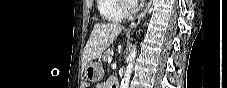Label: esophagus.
Returning <instances> with one entry per match:
<instances>
[{"instance_id": "obj_1", "label": "esophagus", "mask_w": 227, "mask_h": 88, "mask_svg": "<svg viewBox=\"0 0 227 88\" xmlns=\"http://www.w3.org/2000/svg\"><path fill=\"white\" fill-rule=\"evenodd\" d=\"M151 3H152V0H149L146 4L145 9L131 22V24H130L131 29L135 28L140 23V21L146 15Z\"/></svg>"}]
</instances>
